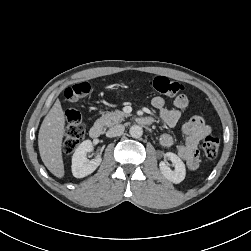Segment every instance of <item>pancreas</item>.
Wrapping results in <instances>:
<instances>
[{
	"instance_id": "1",
	"label": "pancreas",
	"mask_w": 251,
	"mask_h": 251,
	"mask_svg": "<svg viewBox=\"0 0 251 251\" xmlns=\"http://www.w3.org/2000/svg\"><path fill=\"white\" fill-rule=\"evenodd\" d=\"M129 114H126L123 111L115 110L112 112H107L106 114L102 115L97 121L96 124L102 127H111L115 124L122 122Z\"/></svg>"
}]
</instances>
